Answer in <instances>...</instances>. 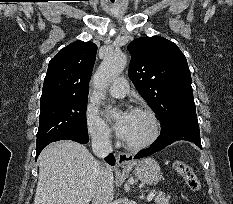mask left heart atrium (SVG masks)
Segmentation results:
<instances>
[{
    "label": "left heart atrium",
    "mask_w": 233,
    "mask_h": 204,
    "mask_svg": "<svg viewBox=\"0 0 233 204\" xmlns=\"http://www.w3.org/2000/svg\"><path fill=\"white\" fill-rule=\"evenodd\" d=\"M128 116H129V112H124L115 125L117 134L123 139L126 134Z\"/></svg>",
    "instance_id": "1"
}]
</instances>
